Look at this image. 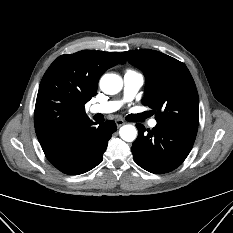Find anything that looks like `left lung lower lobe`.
<instances>
[{"mask_svg":"<svg viewBox=\"0 0 233 233\" xmlns=\"http://www.w3.org/2000/svg\"><path fill=\"white\" fill-rule=\"evenodd\" d=\"M138 137L133 142L135 162L143 169L162 174L176 169L186 159L194 144L197 128L157 124L152 130L137 124Z\"/></svg>","mask_w":233,"mask_h":233,"instance_id":"0a47b994","label":"left lung lower lobe"}]
</instances>
